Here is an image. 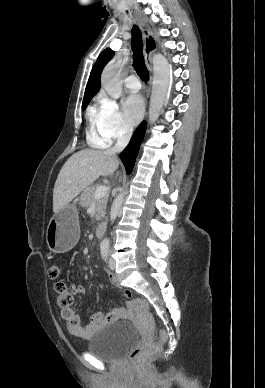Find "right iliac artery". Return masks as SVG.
<instances>
[{"label": "right iliac artery", "instance_id": "82829eb1", "mask_svg": "<svg viewBox=\"0 0 265 388\" xmlns=\"http://www.w3.org/2000/svg\"><path fill=\"white\" fill-rule=\"evenodd\" d=\"M108 252H109V245L108 244H101V255H102V258L104 260H107Z\"/></svg>", "mask_w": 265, "mask_h": 388}]
</instances>
